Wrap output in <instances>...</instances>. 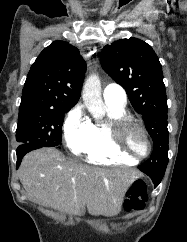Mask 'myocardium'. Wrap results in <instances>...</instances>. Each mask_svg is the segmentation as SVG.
I'll return each instance as SVG.
<instances>
[{"instance_id":"f54148a6","label":"myocardium","mask_w":187,"mask_h":242,"mask_svg":"<svg viewBox=\"0 0 187 242\" xmlns=\"http://www.w3.org/2000/svg\"><path fill=\"white\" fill-rule=\"evenodd\" d=\"M137 129L144 136L147 143V152L142 156L131 154L125 146V135L129 129ZM110 143L113 149L122 156L134 160L136 163L146 159L152 152V143L146 129L129 116H120L107 123Z\"/></svg>"}]
</instances>
